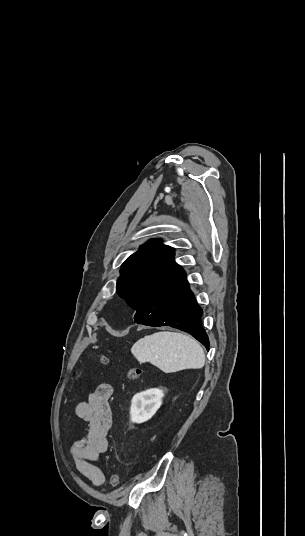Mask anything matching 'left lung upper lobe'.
Here are the masks:
<instances>
[{"mask_svg": "<svg viewBox=\"0 0 305 536\" xmlns=\"http://www.w3.org/2000/svg\"><path fill=\"white\" fill-rule=\"evenodd\" d=\"M121 267L116 290L135 310L184 273L174 260V249L157 239L140 246Z\"/></svg>", "mask_w": 305, "mask_h": 536, "instance_id": "1", "label": "left lung upper lobe"}]
</instances>
